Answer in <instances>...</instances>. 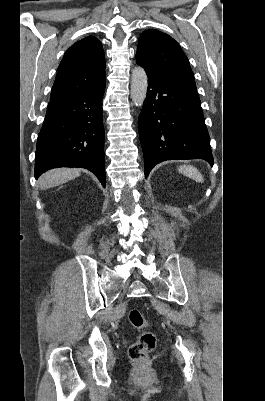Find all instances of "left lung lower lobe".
I'll use <instances>...</instances> for the list:
<instances>
[{"mask_svg": "<svg viewBox=\"0 0 265 401\" xmlns=\"http://www.w3.org/2000/svg\"><path fill=\"white\" fill-rule=\"evenodd\" d=\"M146 73L148 89L138 123L145 177L166 160L204 159L213 165L195 82Z\"/></svg>", "mask_w": 265, "mask_h": 401, "instance_id": "1", "label": "left lung lower lobe"}]
</instances>
